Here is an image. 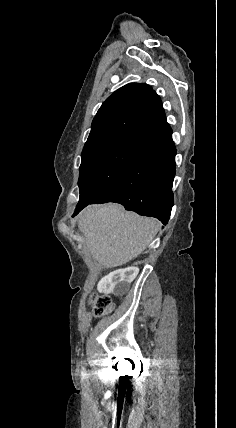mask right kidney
Returning <instances> with one entry per match:
<instances>
[{
  "label": "right kidney",
  "mask_w": 236,
  "mask_h": 428,
  "mask_svg": "<svg viewBox=\"0 0 236 428\" xmlns=\"http://www.w3.org/2000/svg\"><path fill=\"white\" fill-rule=\"evenodd\" d=\"M139 274V268L131 266V268H124V270L107 269L106 276L102 278L101 286L102 292H130L131 282L135 280ZM112 286V287H111ZM119 297L118 295L116 296Z\"/></svg>",
  "instance_id": "1"
}]
</instances>
